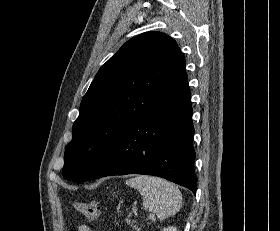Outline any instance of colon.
Segmentation results:
<instances>
[{
  "mask_svg": "<svg viewBox=\"0 0 280 231\" xmlns=\"http://www.w3.org/2000/svg\"><path fill=\"white\" fill-rule=\"evenodd\" d=\"M74 206L77 211L83 213L90 221H96L101 215V207L98 202L75 201Z\"/></svg>",
  "mask_w": 280,
  "mask_h": 231,
  "instance_id": "obj_1",
  "label": "colon"
}]
</instances>
